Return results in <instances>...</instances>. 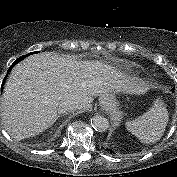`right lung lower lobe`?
I'll list each match as a JSON object with an SVG mask.
<instances>
[{
	"label": "right lung lower lobe",
	"mask_w": 177,
	"mask_h": 177,
	"mask_svg": "<svg viewBox=\"0 0 177 177\" xmlns=\"http://www.w3.org/2000/svg\"><path fill=\"white\" fill-rule=\"evenodd\" d=\"M30 54H32V53H30ZM30 54H27L26 56H29ZM26 56H22V57H20V58H18L10 67H9V70H8V73L11 71V69L18 63V62H20L22 59H24ZM7 73V74H8ZM6 78V77H5Z\"/></svg>",
	"instance_id": "right-lung-lower-lobe-1"
}]
</instances>
